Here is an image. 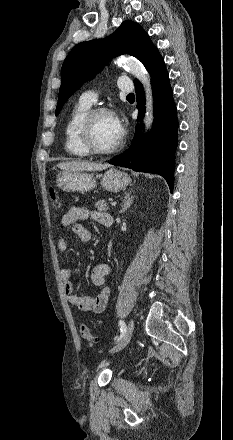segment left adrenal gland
I'll use <instances>...</instances> for the list:
<instances>
[{
    "label": "left adrenal gland",
    "instance_id": "1",
    "mask_svg": "<svg viewBox=\"0 0 233 440\" xmlns=\"http://www.w3.org/2000/svg\"><path fill=\"white\" fill-rule=\"evenodd\" d=\"M134 197H130V193H125L122 209L120 210V213H124L132 204Z\"/></svg>",
    "mask_w": 233,
    "mask_h": 440
}]
</instances>
